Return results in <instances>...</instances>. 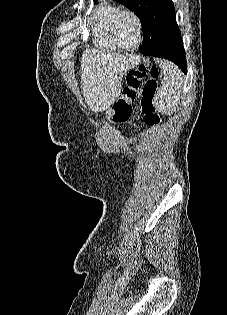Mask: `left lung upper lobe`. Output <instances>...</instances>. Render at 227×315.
<instances>
[{
	"label": "left lung upper lobe",
	"mask_w": 227,
	"mask_h": 315,
	"mask_svg": "<svg viewBox=\"0 0 227 315\" xmlns=\"http://www.w3.org/2000/svg\"><path fill=\"white\" fill-rule=\"evenodd\" d=\"M96 1V0H95ZM133 11L143 25V41L158 49L183 43L172 0H114Z\"/></svg>",
	"instance_id": "1"
}]
</instances>
